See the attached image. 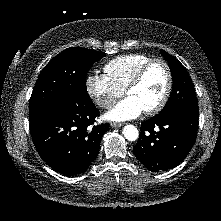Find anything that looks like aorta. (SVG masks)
Returning a JSON list of instances; mask_svg holds the SVG:
<instances>
[{
  "label": "aorta",
  "mask_w": 221,
  "mask_h": 221,
  "mask_svg": "<svg viewBox=\"0 0 221 221\" xmlns=\"http://www.w3.org/2000/svg\"><path fill=\"white\" fill-rule=\"evenodd\" d=\"M122 132L128 141H135L139 137L138 129L134 125H126Z\"/></svg>",
  "instance_id": "obj_1"
}]
</instances>
